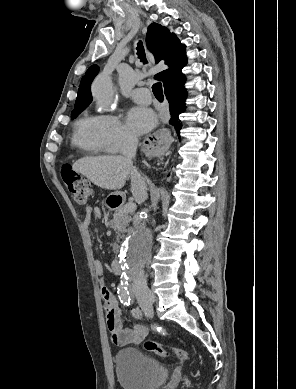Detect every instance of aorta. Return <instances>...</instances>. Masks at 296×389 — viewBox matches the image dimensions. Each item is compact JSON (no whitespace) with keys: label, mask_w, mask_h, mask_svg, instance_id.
<instances>
[{"label":"aorta","mask_w":296,"mask_h":389,"mask_svg":"<svg viewBox=\"0 0 296 389\" xmlns=\"http://www.w3.org/2000/svg\"><path fill=\"white\" fill-rule=\"evenodd\" d=\"M111 71L104 70L94 80L91 90L97 103L107 109L113 107L115 94L113 90ZM152 235L147 228L136 227L122 244L120 257L122 263L136 270L142 266L150 254Z\"/></svg>","instance_id":"obj_1"}]
</instances>
